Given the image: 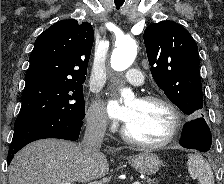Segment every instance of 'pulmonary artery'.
<instances>
[{"label": "pulmonary artery", "instance_id": "1", "mask_svg": "<svg viewBox=\"0 0 224 184\" xmlns=\"http://www.w3.org/2000/svg\"><path fill=\"white\" fill-rule=\"evenodd\" d=\"M125 78L130 84L134 86H141L144 84L143 74L141 71L137 69H130L125 74Z\"/></svg>", "mask_w": 224, "mask_h": 184}]
</instances>
